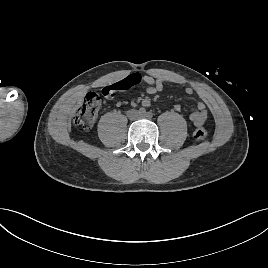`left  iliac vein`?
<instances>
[{"mask_svg":"<svg viewBox=\"0 0 268 268\" xmlns=\"http://www.w3.org/2000/svg\"><path fill=\"white\" fill-rule=\"evenodd\" d=\"M145 117H147V115H142V114L139 115V118H145Z\"/></svg>","mask_w":268,"mask_h":268,"instance_id":"4c4485c4","label":"left iliac vein"}]
</instances>
